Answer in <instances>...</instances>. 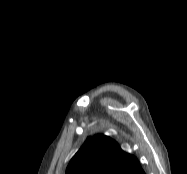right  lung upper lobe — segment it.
Masks as SVG:
<instances>
[{"mask_svg":"<svg viewBox=\"0 0 187 174\" xmlns=\"http://www.w3.org/2000/svg\"><path fill=\"white\" fill-rule=\"evenodd\" d=\"M66 174H145L137 158L104 135L88 138L71 159Z\"/></svg>","mask_w":187,"mask_h":174,"instance_id":"1","label":"right lung upper lobe"}]
</instances>
